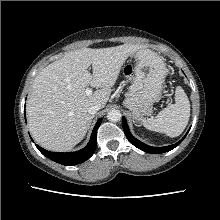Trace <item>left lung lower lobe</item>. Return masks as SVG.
<instances>
[{
	"mask_svg": "<svg viewBox=\"0 0 220 220\" xmlns=\"http://www.w3.org/2000/svg\"><path fill=\"white\" fill-rule=\"evenodd\" d=\"M122 126H123V130L124 133L127 137V139L138 149L147 152V153H151V154H159V153H164V152H168L171 151L172 149H174L175 147H177L182 141L183 139L186 137V135L177 143L170 145V146H165V147H152L149 145H146L142 142H140L138 139H136L135 137L132 136V134L130 133L129 127L127 125V122L125 120V118H122Z\"/></svg>",
	"mask_w": 220,
	"mask_h": 220,
	"instance_id": "1",
	"label": "left lung lower lobe"
}]
</instances>
